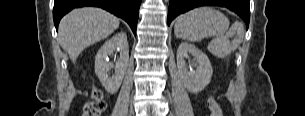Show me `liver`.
<instances>
[{
    "label": "liver",
    "instance_id": "obj_1",
    "mask_svg": "<svg viewBox=\"0 0 305 116\" xmlns=\"http://www.w3.org/2000/svg\"><path fill=\"white\" fill-rule=\"evenodd\" d=\"M119 23L117 17L97 7L73 9L59 24L58 41L75 63L86 47L111 35Z\"/></svg>",
    "mask_w": 305,
    "mask_h": 116
}]
</instances>
